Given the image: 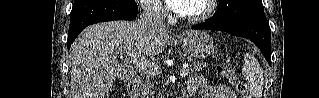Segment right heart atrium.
Returning <instances> with one entry per match:
<instances>
[{
    "label": "right heart atrium",
    "instance_id": "obj_1",
    "mask_svg": "<svg viewBox=\"0 0 319 98\" xmlns=\"http://www.w3.org/2000/svg\"><path fill=\"white\" fill-rule=\"evenodd\" d=\"M146 12L153 17L162 16L165 14V9L160 1H144Z\"/></svg>",
    "mask_w": 319,
    "mask_h": 98
}]
</instances>
